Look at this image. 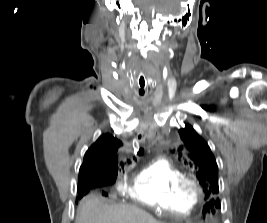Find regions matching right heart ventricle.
I'll return each instance as SVG.
<instances>
[{
  "instance_id": "1",
  "label": "right heart ventricle",
  "mask_w": 267,
  "mask_h": 223,
  "mask_svg": "<svg viewBox=\"0 0 267 223\" xmlns=\"http://www.w3.org/2000/svg\"><path fill=\"white\" fill-rule=\"evenodd\" d=\"M185 173L167 159H158L135 175L124 187V193L137 205L158 212L188 214L196 200L186 196L180 189Z\"/></svg>"
}]
</instances>
